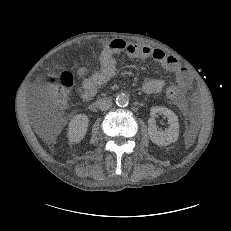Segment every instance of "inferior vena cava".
<instances>
[{
    "label": "inferior vena cava",
    "mask_w": 231,
    "mask_h": 231,
    "mask_svg": "<svg viewBox=\"0 0 231 231\" xmlns=\"http://www.w3.org/2000/svg\"><path fill=\"white\" fill-rule=\"evenodd\" d=\"M98 104H99L100 110L102 111H106L112 107V102L108 99H101L98 101Z\"/></svg>",
    "instance_id": "obj_1"
}]
</instances>
